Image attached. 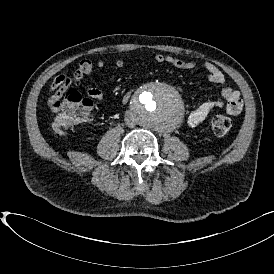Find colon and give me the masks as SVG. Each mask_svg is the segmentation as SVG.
<instances>
[{
    "label": "colon",
    "instance_id": "5ec220e1",
    "mask_svg": "<svg viewBox=\"0 0 274 274\" xmlns=\"http://www.w3.org/2000/svg\"><path fill=\"white\" fill-rule=\"evenodd\" d=\"M48 108L50 110L60 109L52 121V129L56 133H66L77 124L90 122L94 109L89 99L75 91L63 97L59 94L58 102ZM211 129L216 136L225 135L232 129V121L228 116L215 115L211 120Z\"/></svg>",
    "mask_w": 274,
    "mask_h": 274
}]
</instances>
